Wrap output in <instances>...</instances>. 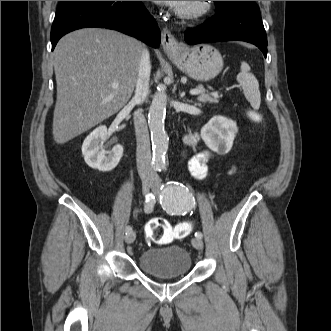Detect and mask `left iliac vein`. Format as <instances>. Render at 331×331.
Masks as SVG:
<instances>
[{
  "mask_svg": "<svg viewBox=\"0 0 331 331\" xmlns=\"http://www.w3.org/2000/svg\"><path fill=\"white\" fill-rule=\"evenodd\" d=\"M160 187H161V181H160V179L155 178L153 180V183H152V190L157 193V192L160 191ZM191 243H192V245H193L194 248H196L198 250H202L203 249V241H202V239L195 237V238H193L191 240Z\"/></svg>",
  "mask_w": 331,
  "mask_h": 331,
  "instance_id": "1",
  "label": "left iliac vein"
}]
</instances>
